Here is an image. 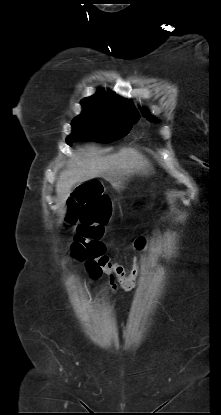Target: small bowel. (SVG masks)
<instances>
[{
  "label": "small bowel",
  "instance_id": "1",
  "mask_svg": "<svg viewBox=\"0 0 221 415\" xmlns=\"http://www.w3.org/2000/svg\"><path fill=\"white\" fill-rule=\"evenodd\" d=\"M129 272V271H128ZM110 285H111V288L113 289V290H116L117 288H118V284L117 283H110Z\"/></svg>",
  "mask_w": 221,
  "mask_h": 415
}]
</instances>
